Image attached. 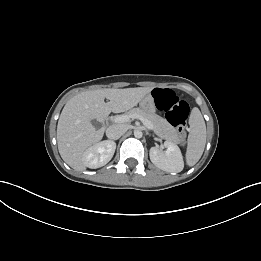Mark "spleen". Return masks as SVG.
Returning <instances> with one entry per match:
<instances>
[{"label":"spleen","instance_id":"spleen-1","mask_svg":"<svg viewBox=\"0 0 261 261\" xmlns=\"http://www.w3.org/2000/svg\"><path fill=\"white\" fill-rule=\"evenodd\" d=\"M190 133L186 151V163L188 166L195 165L201 158L206 144L205 121L197 108H194L190 119Z\"/></svg>","mask_w":261,"mask_h":261}]
</instances>
